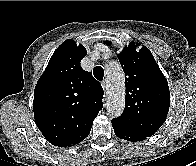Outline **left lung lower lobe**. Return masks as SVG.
<instances>
[{"label": "left lung lower lobe", "instance_id": "obj_1", "mask_svg": "<svg viewBox=\"0 0 196 166\" xmlns=\"http://www.w3.org/2000/svg\"><path fill=\"white\" fill-rule=\"evenodd\" d=\"M112 126L114 128L116 136L121 139H125L131 142H137V141H143L147 138V137L138 135L136 133H133L117 123L112 122Z\"/></svg>", "mask_w": 196, "mask_h": 166}]
</instances>
